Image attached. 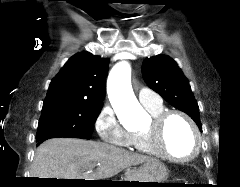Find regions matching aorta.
<instances>
[{
	"label": "aorta",
	"mask_w": 240,
	"mask_h": 187,
	"mask_svg": "<svg viewBox=\"0 0 240 187\" xmlns=\"http://www.w3.org/2000/svg\"><path fill=\"white\" fill-rule=\"evenodd\" d=\"M107 93L110 103L121 121L138 123L146 112L137 101L131 86V68L128 62L116 64L109 73Z\"/></svg>",
	"instance_id": "aorta-1"
}]
</instances>
